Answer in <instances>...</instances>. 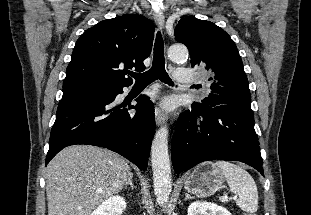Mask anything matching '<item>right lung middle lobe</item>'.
Returning a JSON list of instances; mask_svg holds the SVG:
<instances>
[{
	"label": "right lung middle lobe",
	"instance_id": "1",
	"mask_svg": "<svg viewBox=\"0 0 311 215\" xmlns=\"http://www.w3.org/2000/svg\"><path fill=\"white\" fill-rule=\"evenodd\" d=\"M97 92H98L97 84L80 83L63 86V95L70 93L95 94Z\"/></svg>",
	"mask_w": 311,
	"mask_h": 215
}]
</instances>
